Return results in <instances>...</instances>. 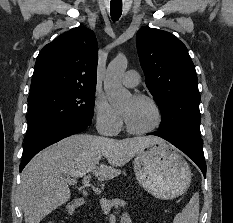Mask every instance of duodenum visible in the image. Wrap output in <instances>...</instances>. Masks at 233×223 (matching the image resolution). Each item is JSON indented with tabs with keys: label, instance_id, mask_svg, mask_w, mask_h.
Returning a JSON list of instances; mask_svg holds the SVG:
<instances>
[{
	"label": "duodenum",
	"instance_id": "1",
	"mask_svg": "<svg viewBox=\"0 0 233 223\" xmlns=\"http://www.w3.org/2000/svg\"><path fill=\"white\" fill-rule=\"evenodd\" d=\"M85 203L84 198H77L74 199L73 201H71L68 205H67V212L69 215H73L75 213V211L81 207L83 204ZM121 223H123V221H121Z\"/></svg>",
	"mask_w": 233,
	"mask_h": 223
}]
</instances>
